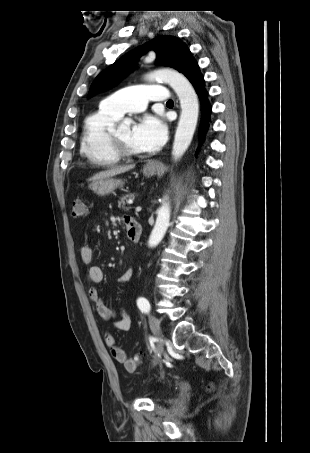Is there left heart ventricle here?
<instances>
[{
    "label": "left heart ventricle",
    "mask_w": 310,
    "mask_h": 453,
    "mask_svg": "<svg viewBox=\"0 0 310 453\" xmlns=\"http://www.w3.org/2000/svg\"><path fill=\"white\" fill-rule=\"evenodd\" d=\"M132 125H126V126H123L119 129L116 130V134L117 136L120 138V140L130 149L132 150L133 152H138V153H141L142 150L140 148H138L134 142H133V138H132Z\"/></svg>",
    "instance_id": "1"
}]
</instances>
